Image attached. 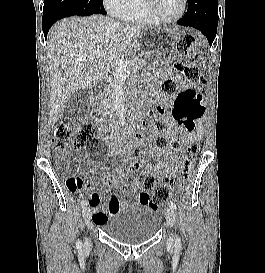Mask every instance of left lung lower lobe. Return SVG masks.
<instances>
[{
    "mask_svg": "<svg viewBox=\"0 0 265 273\" xmlns=\"http://www.w3.org/2000/svg\"><path fill=\"white\" fill-rule=\"evenodd\" d=\"M187 2L188 10L178 24L200 30L211 46L217 32L218 0H187Z\"/></svg>",
    "mask_w": 265,
    "mask_h": 273,
    "instance_id": "obj_1",
    "label": "left lung lower lobe"
}]
</instances>
